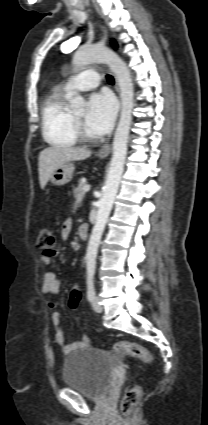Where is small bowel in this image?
<instances>
[{
    "label": "small bowel",
    "mask_w": 208,
    "mask_h": 425,
    "mask_svg": "<svg viewBox=\"0 0 208 425\" xmlns=\"http://www.w3.org/2000/svg\"><path fill=\"white\" fill-rule=\"evenodd\" d=\"M71 231V223L66 222L62 228V236L63 238H67ZM55 252L52 255L43 254L41 256V261L45 265H50L52 262V257L55 256ZM42 290L44 293L49 295H56L60 291V280L57 278L56 274L53 271H48L44 275L43 279V287ZM50 308H56L55 302L49 303ZM52 324L54 328V335L57 344L62 348V351L65 354L72 352L75 349L86 346L88 344V338L83 336L79 341L66 343L64 339L63 326H62V318L59 312L54 311L52 313Z\"/></svg>",
    "instance_id": "c3829d8e"
}]
</instances>
